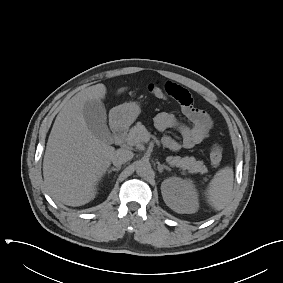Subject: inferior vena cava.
Segmentation results:
<instances>
[{
    "label": "inferior vena cava",
    "mask_w": 283,
    "mask_h": 283,
    "mask_svg": "<svg viewBox=\"0 0 283 283\" xmlns=\"http://www.w3.org/2000/svg\"><path fill=\"white\" fill-rule=\"evenodd\" d=\"M133 158V152L126 149H118L114 152L111 161L114 166L119 167Z\"/></svg>",
    "instance_id": "602c4592"
}]
</instances>
